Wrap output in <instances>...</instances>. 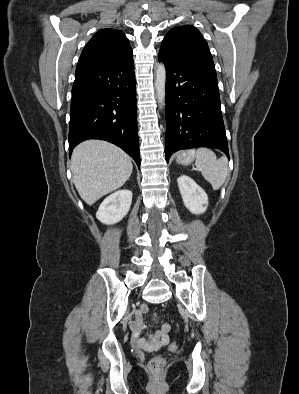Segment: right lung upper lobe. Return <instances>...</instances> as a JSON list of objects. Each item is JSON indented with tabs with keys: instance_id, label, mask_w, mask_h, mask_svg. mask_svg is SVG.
I'll use <instances>...</instances> for the list:
<instances>
[{
	"instance_id": "obj_1",
	"label": "right lung upper lobe",
	"mask_w": 299,
	"mask_h": 394,
	"mask_svg": "<svg viewBox=\"0 0 299 394\" xmlns=\"http://www.w3.org/2000/svg\"><path fill=\"white\" fill-rule=\"evenodd\" d=\"M132 57L131 46L122 31L102 29L83 49L76 72L113 63L128 62L133 60Z\"/></svg>"
}]
</instances>
